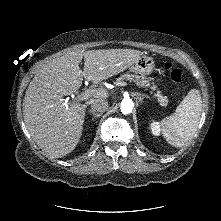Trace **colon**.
Returning <instances> with one entry per match:
<instances>
[{"mask_svg": "<svg viewBox=\"0 0 221 221\" xmlns=\"http://www.w3.org/2000/svg\"><path fill=\"white\" fill-rule=\"evenodd\" d=\"M164 69L170 73V77L174 83L179 84L184 80V74L179 69L173 68L171 63H165Z\"/></svg>", "mask_w": 221, "mask_h": 221, "instance_id": "5ec220e1", "label": "colon"}]
</instances>
